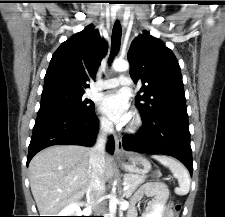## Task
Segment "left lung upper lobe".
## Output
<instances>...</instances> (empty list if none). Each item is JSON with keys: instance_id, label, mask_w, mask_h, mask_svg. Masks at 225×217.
Listing matches in <instances>:
<instances>
[{"instance_id": "1", "label": "left lung upper lobe", "mask_w": 225, "mask_h": 217, "mask_svg": "<svg viewBox=\"0 0 225 217\" xmlns=\"http://www.w3.org/2000/svg\"><path fill=\"white\" fill-rule=\"evenodd\" d=\"M130 76L143 85L136 97L141 116L185 110L186 99L180 66L172 51L144 31L128 51Z\"/></svg>"}]
</instances>
